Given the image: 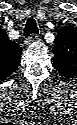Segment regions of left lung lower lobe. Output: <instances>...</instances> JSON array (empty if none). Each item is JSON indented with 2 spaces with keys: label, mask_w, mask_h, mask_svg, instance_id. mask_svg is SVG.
<instances>
[{
  "label": "left lung lower lobe",
  "mask_w": 77,
  "mask_h": 125,
  "mask_svg": "<svg viewBox=\"0 0 77 125\" xmlns=\"http://www.w3.org/2000/svg\"><path fill=\"white\" fill-rule=\"evenodd\" d=\"M55 69L63 76H65L66 78H70L73 77L76 73L75 68L74 67H69L66 65H57L55 66Z\"/></svg>",
  "instance_id": "obj_1"
}]
</instances>
